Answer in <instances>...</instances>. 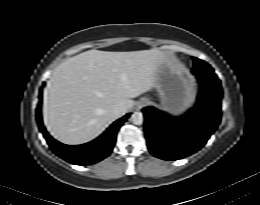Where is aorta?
<instances>
[{
	"label": "aorta",
	"mask_w": 260,
	"mask_h": 205,
	"mask_svg": "<svg viewBox=\"0 0 260 205\" xmlns=\"http://www.w3.org/2000/svg\"><path fill=\"white\" fill-rule=\"evenodd\" d=\"M130 120L135 125H141L143 123V114L141 112H134Z\"/></svg>",
	"instance_id": "aorta-1"
}]
</instances>
